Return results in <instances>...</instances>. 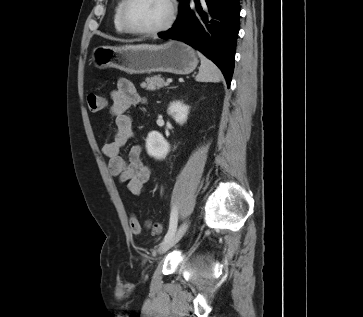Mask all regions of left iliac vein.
Here are the masks:
<instances>
[{
    "instance_id": "obj_1",
    "label": "left iliac vein",
    "mask_w": 363,
    "mask_h": 317,
    "mask_svg": "<svg viewBox=\"0 0 363 317\" xmlns=\"http://www.w3.org/2000/svg\"><path fill=\"white\" fill-rule=\"evenodd\" d=\"M188 226H189L188 222L182 223L178 228V230L175 232V234L169 240L160 244L159 253L163 254L166 251H168L171 247H173L175 244H177L186 233Z\"/></svg>"
}]
</instances>
